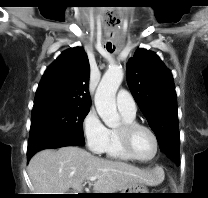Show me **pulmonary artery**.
Listing matches in <instances>:
<instances>
[{
	"instance_id": "1",
	"label": "pulmonary artery",
	"mask_w": 208,
	"mask_h": 198,
	"mask_svg": "<svg viewBox=\"0 0 208 198\" xmlns=\"http://www.w3.org/2000/svg\"><path fill=\"white\" fill-rule=\"evenodd\" d=\"M116 104L120 112L135 116L137 106L132 95L126 90H120L116 97Z\"/></svg>"
}]
</instances>
